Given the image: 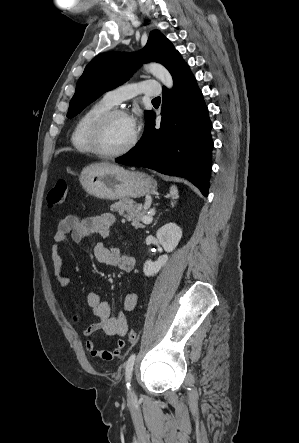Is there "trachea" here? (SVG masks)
<instances>
[{
    "mask_svg": "<svg viewBox=\"0 0 299 443\" xmlns=\"http://www.w3.org/2000/svg\"><path fill=\"white\" fill-rule=\"evenodd\" d=\"M152 102H160V97H156L152 100Z\"/></svg>",
    "mask_w": 299,
    "mask_h": 443,
    "instance_id": "obj_1",
    "label": "trachea"
}]
</instances>
